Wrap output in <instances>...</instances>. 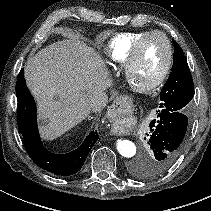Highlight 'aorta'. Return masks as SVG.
<instances>
[{
	"mask_svg": "<svg viewBox=\"0 0 211 211\" xmlns=\"http://www.w3.org/2000/svg\"><path fill=\"white\" fill-rule=\"evenodd\" d=\"M116 146L123 157L131 158L136 154V146L129 140H118Z\"/></svg>",
	"mask_w": 211,
	"mask_h": 211,
	"instance_id": "aorta-1",
	"label": "aorta"
}]
</instances>
